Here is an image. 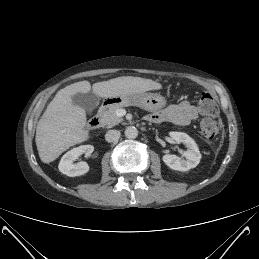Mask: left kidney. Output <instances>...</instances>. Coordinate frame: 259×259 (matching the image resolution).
<instances>
[{
	"mask_svg": "<svg viewBox=\"0 0 259 259\" xmlns=\"http://www.w3.org/2000/svg\"><path fill=\"white\" fill-rule=\"evenodd\" d=\"M170 137L178 144L184 143L188 149L183 153L185 159L166 154L162 157L164 163L173 170L183 172L195 168L201 159V154L195 141L183 132H170Z\"/></svg>",
	"mask_w": 259,
	"mask_h": 259,
	"instance_id": "1",
	"label": "left kidney"
}]
</instances>
